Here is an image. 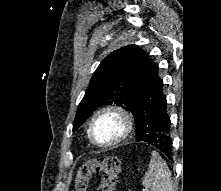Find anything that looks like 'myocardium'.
Returning <instances> with one entry per match:
<instances>
[{
    "label": "myocardium",
    "instance_id": "myocardium-1",
    "mask_svg": "<svg viewBox=\"0 0 221 191\" xmlns=\"http://www.w3.org/2000/svg\"><path fill=\"white\" fill-rule=\"evenodd\" d=\"M105 115L116 116L121 122V132L112 141L98 142L94 137V125L99 118ZM133 130V117L129 111L118 105H108L98 109L92 116L88 126V136L93 144L102 148H109L125 141Z\"/></svg>",
    "mask_w": 221,
    "mask_h": 191
}]
</instances>
